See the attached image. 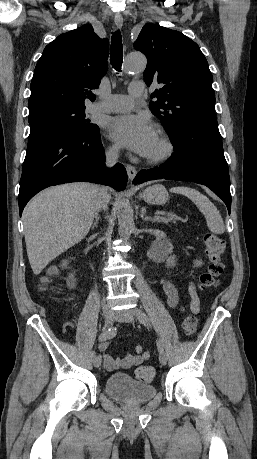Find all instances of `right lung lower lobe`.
Returning a JSON list of instances; mask_svg holds the SVG:
<instances>
[{"instance_id":"obj_1","label":"right lung lower lobe","mask_w":257,"mask_h":459,"mask_svg":"<svg viewBox=\"0 0 257 459\" xmlns=\"http://www.w3.org/2000/svg\"><path fill=\"white\" fill-rule=\"evenodd\" d=\"M87 181L123 190L127 173L123 165L105 167L99 128L72 133L52 125L30 126L19 190L20 216L27 202L42 189L69 182Z\"/></svg>"}]
</instances>
